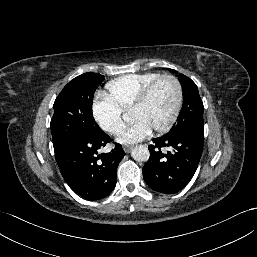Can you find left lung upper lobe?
Masks as SVG:
<instances>
[{
  "mask_svg": "<svg viewBox=\"0 0 257 257\" xmlns=\"http://www.w3.org/2000/svg\"><path fill=\"white\" fill-rule=\"evenodd\" d=\"M171 71L176 72L175 70ZM178 78L183 89V107L176 124L166 135L176 136L191 131L204 133V107L197 86L183 74L179 75Z\"/></svg>",
  "mask_w": 257,
  "mask_h": 257,
  "instance_id": "1",
  "label": "left lung upper lobe"
}]
</instances>
